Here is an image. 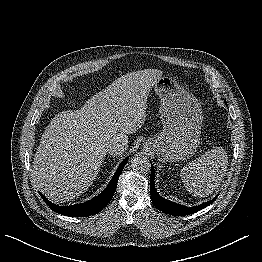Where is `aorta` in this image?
<instances>
[{"instance_id":"obj_1","label":"aorta","mask_w":262,"mask_h":262,"mask_svg":"<svg viewBox=\"0 0 262 262\" xmlns=\"http://www.w3.org/2000/svg\"><path fill=\"white\" fill-rule=\"evenodd\" d=\"M131 167L137 172H146L150 169L149 159L143 155H135L131 160Z\"/></svg>"}]
</instances>
